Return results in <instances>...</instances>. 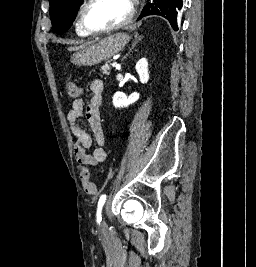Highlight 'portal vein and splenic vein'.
<instances>
[{"instance_id":"obj_1","label":"portal vein and splenic vein","mask_w":256,"mask_h":267,"mask_svg":"<svg viewBox=\"0 0 256 267\" xmlns=\"http://www.w3.org/2000/svg\"><path fill=\"white\" fill-rule=\"evenodd\" d=\"M117 63H118V61H114L113 62V66H115V68H117L116 66H117Z\"/></svg>"}]
</instances>
